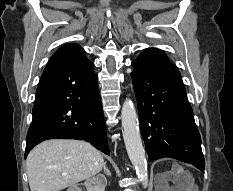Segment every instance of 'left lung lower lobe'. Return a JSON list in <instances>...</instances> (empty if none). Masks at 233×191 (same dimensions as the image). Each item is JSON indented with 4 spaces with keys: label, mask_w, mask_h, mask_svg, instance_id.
Here are the masks:
<instances>
[{
    "label": "left lung lower lobe",
    "mask_w": 233,
    "mask_h": 191,
    "mask_svg": "<svg viewBox=\"0 0 233 191\" xmlns=\"http://www.w3.org/2000/svg\"><path fill=\"white\" fill-rule=\"evenodd\" d=\"M131 65L148 160L170 157L204 172L200 134L176 66L160 55H139Z\"/></svg>",
    "instance_id": "obj_1"
}]
</instances>
